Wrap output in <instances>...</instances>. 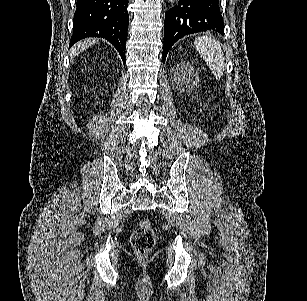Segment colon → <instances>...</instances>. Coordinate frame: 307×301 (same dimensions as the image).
<instances>
[{"label":"colon","instance_id":"obj_1","mask_svg":"<svg viewBox=\"0 0 307 301\" xmlns=\"http://www.w3.org/2000/svg\"><path fill=\"white\" fill-rule=\"evenodd\" d=\"M157 236L149 219H141L138 228L131 236V245L135 254L145 258L154 248Z\"/></svg>","mask_w":307,"mask_h":301}]
</instances>
